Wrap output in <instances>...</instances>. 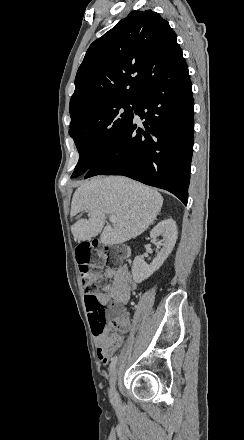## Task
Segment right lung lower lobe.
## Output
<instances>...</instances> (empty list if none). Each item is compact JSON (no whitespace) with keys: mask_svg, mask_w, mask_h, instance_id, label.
Instances as JSON below:
<instances>
[{"mask_svg":"<svg viewBox=\"0 0 244 440\" xmlns=\"http://www.w3.org/2000/svg\"><path fill=\"white\" fill-rule=\"evenodd\" d=\"M193 96L186 62L156 74L138 99L133 118L86 172L123 175L165 189L185 205L193 152Z\"/></svg>","mask_w":244,"mask_h":440,"instance_id":"1","label":"right lung lower lobe"}]
</instances>
